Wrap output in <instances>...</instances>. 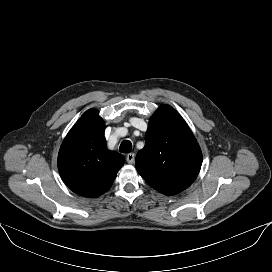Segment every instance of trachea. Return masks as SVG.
I'll use <instances>...</instances> for the list:
<instances>
[{
    "label": "trachea",
    "instance_id": "obj_1",
    "mask_svg": "<svg viewBox=\"0 0 272 272\" xmlns=\"http://www.w3.org/2000/svg\"><path fill=\"white\" fill-rule=\"evenodd\" d=\"M132 149V144L129 140H124L120 145V152L130 153Z\"/></svg>",
    "mask_w": 272,
    "mask_h": 272
}]
</instances>
